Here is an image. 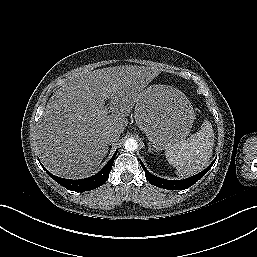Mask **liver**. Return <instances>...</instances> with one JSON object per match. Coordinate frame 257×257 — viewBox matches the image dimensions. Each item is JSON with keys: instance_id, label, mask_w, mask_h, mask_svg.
<instances>
[{"instance_id": "liver-1", "label": "liver", "mask_w": 257, "mask_h": 257, "mask_svg": "<svg viewBox=\"0 0 257 257\" xmlns=\"http://www.w3.org/2000/svg\"><path fill=\"white\" fill-rule=\"evenodd\" d=\"M158 74L154 67L123 65L70 79L51 96L38 126V153L46 168L71 179L91 174L108 152L104 132L123 133L134 105Z\"/></svg>"}]
</instances>
